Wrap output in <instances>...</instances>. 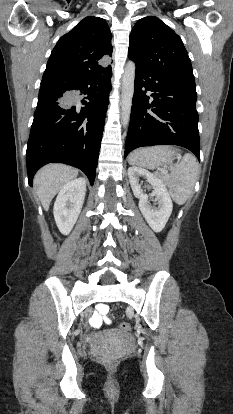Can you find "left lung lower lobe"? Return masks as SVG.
I'll list each match as a JSON object with an SVG mask.
<instances>
[{
    "instance_id": "1",
    "label": "left lung lower lobe",
    "mask_w": 233,
    "mask_h": 414,
    "mask_svg": "<svg viewBox=\"0 0 233 414\" xmlns=\"http://www.w3.org/2000/svg\"><path fill=\"white\" fill-rule=\"evenodd\" d=\"M148 91L153 92V101L146 95ZM196 100L195 82L162 79L136 67L124 157L138 147L178 145L200 160Z\"/></svg>"
}]
</instances>
